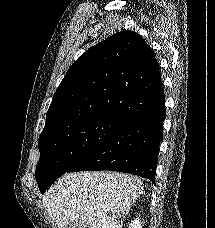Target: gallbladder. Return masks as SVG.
Returning <instances> with one entry per match:
<instances>
[{
	"label": "gallbladder",
	"instance_id": "obj_1",
	"mask_svg": "<svg viewBox=\"0 0 215 228\" xmlns=\"http://www.w3.org/2000/svg\"><path fill=\"white\" fill-rule=\"evenodd\" d=\"M69 228H73V226H69Z\"/></svg>",
	"mask_w": 215,
	"mask_h": 228
}]
</instances>
